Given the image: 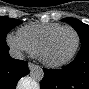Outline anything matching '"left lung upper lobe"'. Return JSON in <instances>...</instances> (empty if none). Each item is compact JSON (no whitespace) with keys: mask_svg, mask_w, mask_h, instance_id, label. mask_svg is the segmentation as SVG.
<instances>
[{"mask_svg":"<svg viewBox=\"0 0 89 89\" xmlns=\"http://www.w3.org/2000/svg\"><path fill=\"white\" fill-rule=\"evenodd\" d=\"M62 21L69 23L77 31L81 45L89 44V25L74 18H64Z\"/></svg>","mask_w":89,"mask_h":89,"instance_id":"obj_1","label":"left lung upper lobe"}]
</instances>
